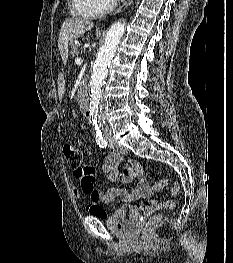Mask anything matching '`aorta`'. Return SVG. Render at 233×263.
Wrapping results in <instances>:
<instances>
[{
	"label": "aorta",
	"mask_w": 233,
	"mask_h": 263,
	"mask_svg": "<svg viewBox=\"0 0 233 263\" xmlns=\"http://www.w3.org/2000/svg\"><path fill=\"white\" fill-rule=\"evenodd\" d=\"M125 32V22H116L108 30L105 42L95 60L88 86L83 90L81 105L97 125L103 116V89L108 67Z\"/></svg>",
	"instance_id": "aorta-1"
}]
</instances>
